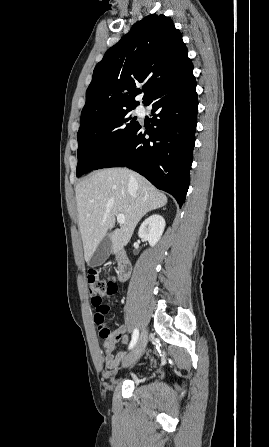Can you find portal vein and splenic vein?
Returning <instances> with one entry per match:
<instances>
[{
  "label": "portal vein and splenic vein",
  "mask_w": 269,
  "mask_h": 447,
  "mask_svg": "<svg viewBox=\"0 0 269 447\" xmlns=\"http://www.w3.org/2000/svg\"><path fill=\"white\" fill-rule=\"evenodd\" d=\"M117 222H118V224H125L124 214H119V216H117Z\"/></svg>",
  "instance_id": "1"
}]
</instances>
